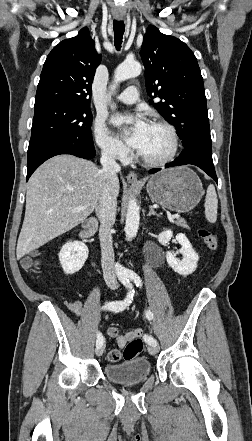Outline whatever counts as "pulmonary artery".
Returning <instances> with one entry per match:
<instances>
[{
	"label": "pulmonary artery",
	"mask_w": 252,
	"mask_h": 441,
	"mask_svg": "<svg viewBox=\"0 0 252 441\" xmlns=\"http://www.w3.org/2000/svg\"><path fill=\"white\" fill-rule=\"evenodd\" d=\"M116 98L124 104H133L139 99V90L136 86H129L125 91L117 95Z\"/></svg>",
	"instance_id": "e3ab8cb5"
}]
</instances>
